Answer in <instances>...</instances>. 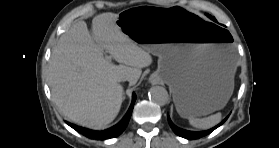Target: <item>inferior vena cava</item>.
Here are the masks:
<instances>
[{
  "label": "inferior vena cava",
  "mask_w": 279,
  "mask_h": 148,
  "mask_svg": "<svg viewBox=\"0 0 279 148\" xmlns=\"http://www.w3.org/2000/svg\"><path fill=\"white\" fill-rule=\"evenodd\" d=\"M127 80H128V78L126 76H121L119 78V81H127Z\"/></svg>",
  "instance_id": "obj_1"
}]
</instances>
